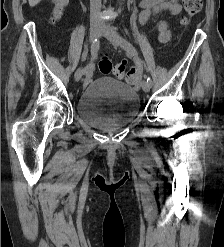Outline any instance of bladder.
Listing matches in <instances>:
<instances>
[{"mask_svg": "<svg viewBox=\"0 0 224 247\" xmlns=\"http://www.w3.org/2000/svg\"><path fill=\"white\" fill-rule=\"evenodd\" d=\"M140 98L130 86L111 77L90 82L76 101L77 115L90 127L113 132L138 115Z\"/></svg>", "mask_w": 224, "mask_h": 247, "instance_id": "1", "label": "bladder"}]
</instances>
